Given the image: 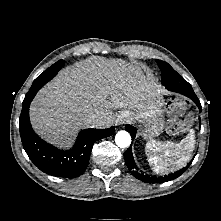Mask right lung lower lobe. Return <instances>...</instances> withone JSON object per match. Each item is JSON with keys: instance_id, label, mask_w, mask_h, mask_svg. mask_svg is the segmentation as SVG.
<instances>
[{"instance_id": "1", "label": "right lung lower lobe", "mask_w": 221, "mask_h": 221, "mask_svg": "<svg viewBox=\"0 0 221 221\" xmlns=\"http://www.w3.org/2000/svg\"><path fill=\"white\" fill-rule=\"evenodd\" d=\"M48 79L40 80L25 96L19 120L22 144L30 160L41 171L52 176L74 178L86 169L94 142L111 136L115 127L82 130L78 134L74 147L68 151L60 150L42 140L31 127L29 106L35 94Z\"/></svg>"}]
</instances>
